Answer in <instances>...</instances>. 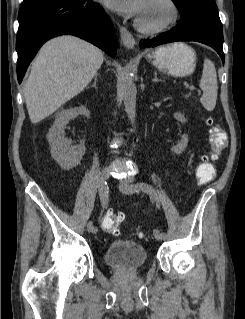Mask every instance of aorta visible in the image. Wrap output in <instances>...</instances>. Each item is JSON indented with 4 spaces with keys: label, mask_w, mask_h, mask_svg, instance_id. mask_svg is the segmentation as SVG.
Here are the masks:
<instances>
[{
    "label": "aorta",
    "mask_w": 245,
    "mask_h": 319,
    "mask_svg": "<svg viewBox=\"0 0 245 319\" xmlns=\"http://www.w3.org/2000/svg\"><path fill=\"white\" fill-rule=\"evenodd\" d=\"M136 95L137 89L133 76L131 72L127 71L123 77V99L125 111L132 125H134L136 117Z\"/></svg>",
    "instance_id": "762f6f07"
}]
</instances>
